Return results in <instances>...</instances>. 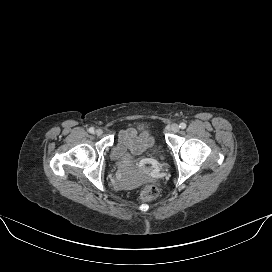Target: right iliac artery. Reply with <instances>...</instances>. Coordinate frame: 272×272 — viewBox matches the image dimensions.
I'll return each mask as SVG.
<instances>
[{
  "label": "right iliac artery",
  "instance_id": "obj_1",
  "mask_svg": "<svg viewBox=\"0 0 272 272\" xmlns=\"http://www.w3.org/2000/svg\"><path fill=\"white\" fill-rule=\"evenodd\" d=\"M90 133H94L95 129L93 127H90L88 130Z\"/></svg>",
  "mask_w": 272,
  "mask_h": 272
}]
</instances>
